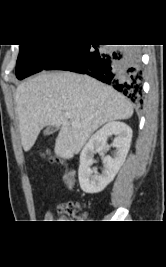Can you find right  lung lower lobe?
I'll use <instances>...</instances> for the list:
<instances>
[{"label":"right lung lower lobe","instance_id":"obj_1","mask_svg":"<svg viewBox=\"0 0 166 267\" xmlns=\"http://www.w3.org/2000/svg\"><path fill=\"white\" fill-rule=\"evenodd\" d=\"M43 70L87 74L142 103V68L136 48L113 50L100 45H66Z\"/></svg>","mask_w":166,"mask_h":267}]
</instances>
